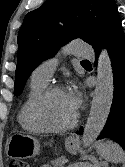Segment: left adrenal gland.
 I'll return each mask as SVG.
<instances>
[{
  "label": "left adrenal gland",
  "instance_id": "left-adrenal-gland-1",
  "mask_svg": "<svg viewBox=\"0 0 125 167\" xmlns=\"http://www.w3.org/2000/svg\"><path fill=\"white\" fill-rule=\"evenodd\" d=\"M94 167H101V164H98V165H96V166H94Z\"/></svg>",
  "mask_w": 125,
  "mask_h": 167
}]
</instances>
